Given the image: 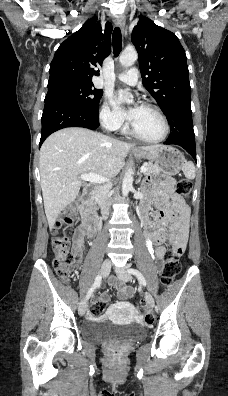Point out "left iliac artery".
Here are the masks:
<instances>
[{"mask_svg": "<svg viewBox=\"0 0 228 396\" xmlns=\"http://www.w3.org/2000/svg\"><path fill=\"white\" fill-rule=\"evenodd\" d=\"M128 273L135 275L138 281L140 282V284H142L144 287L146 286V280L139 270L130 268L128 269Z\"/></svg>", "mask_w": 228, "mask_h": 396, "instance_id": "obj_1", "label": "left iliac artery"}]
</instances>
